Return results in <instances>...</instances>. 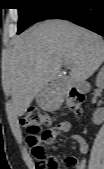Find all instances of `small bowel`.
<instances>
[{
	"label": "small bowel",
	"instance_id": "1",
	"mask_svg": "<svg viewBox=\"0 0 104 169\" xmlns=\"http://www.w3.org/2000/svg\"><path fill=\"white\" fill-rule=\"evenodd\" d=\"M71 130H72V124L68 121H62L58 123L56 126V132H69ZM56 132H55V135H56ZM55 135L53 137H45L43 141L51 144L54 141ZM70 141L77 144L78 149L82 154H86L88 152L89 150L88 144L85 138L81 134L73 133L70 136ZM84 167H85V160H81L77 164V169H84Z\"/></svg>",
	"mask_w": 104,
	"mask_h": 169
}]
</instances>
